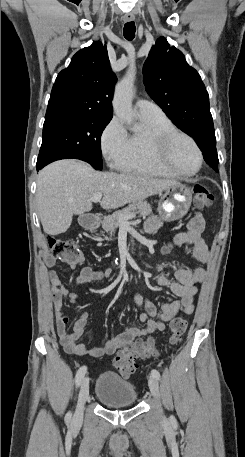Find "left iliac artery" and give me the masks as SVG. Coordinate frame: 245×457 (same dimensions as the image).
<instances>
[{
  "label": "left iliac artery",
  "instance_id": "1",
  "mask_svg": "<svg viewBox=\"0 0 245 457\" xmlns=\"http://www.w3.org/2000/svg\"><path fill=\"white\" fill-rule=\"evenodd\" d=\"M151 374H152L157 380L160 379V373H159L158 370L153 369V370L151 371Z\"/></svg>",
  "mask_w": 245,
  "mask_h": 457
}]
</instances>
